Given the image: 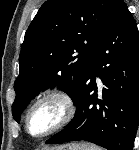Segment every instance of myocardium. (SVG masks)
Listing matches in <instances>:
<instances>
[{
	"instance_id": "myocardium-1",
	"label": "myocardium",
	"mask_w": 139,
	"mask_h": 150,
	"mask_svg": "<svg viewBox=\"0 0 139 150\" xmlns=\"http://www.w3.org/2000/svg\"><path fill=\"white\" fill-rule=\"evenodd\" d=\"M50 99L56 100L60 103L63 109L62 117L51 129H49L45 133L40 134V135H34L30 131L31 114L40 103L46 100H50ZM76 112H77V106H76L75 100L68 92L61 91V90L47 91L41 94L29 107L26 117H25L26 131L33 138L42 139V138L48 137L60 131L61 129L65 128L67 125H69L71 121L74 119Z\"/></svg>"
}]
</instances>
